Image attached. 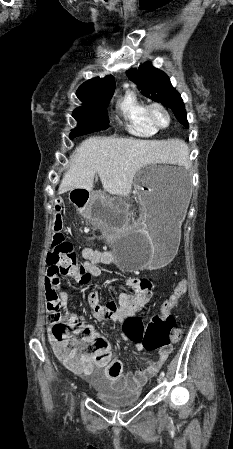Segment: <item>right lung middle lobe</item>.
Returning <instances> with one entry per match:
<instances>
[{
    "mask_svg": "<svg viewBox=\"0 0 233 449\" xmlns=\"http://www.w3.org/2000/svg\"><path fill=\"white\" fill-rule=\"evenodd\" d=\"M113 94L82 100L84 104L74 110L73 117L78 127L70 133V138L105 130L109 127L107 106Z\"/></svg>",
    "mask_w": 233,
    "mask_h": 449,
    "instance_id": "1",
    "label": "right lung middle lobe"
}]
</instances>
